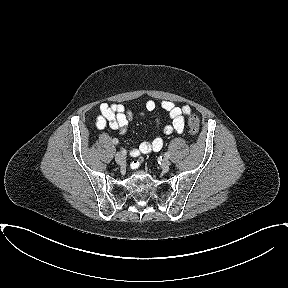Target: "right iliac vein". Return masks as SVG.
Masks as SVG:
<instances>
[{"mask_svg": "<svg viewBox=\"0 0 288 288\" xmlns=\"http://www.w3.org/2000/svg\"><path fill=\"white\" fill-rule=\"evenodd\" d=\"M115 161L117 164L121 165L125 162V156L124 154L120 153V152H117L115 154Z\"/></svg>", "mask_w": 288, "mask_h": 288, "instance_id": "63e3f726", "label": "right iliac vein"}]
</instances>
